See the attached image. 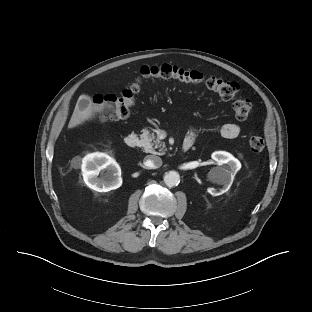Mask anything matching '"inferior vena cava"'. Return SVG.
<instances>
[{
  "label": "inferior vena cava",
  "mask_w": 312,
  "mask_h": 312,
  "mask_svg": "<svg viewBox=\"0 0 312 312\" xmlns=\"http://www.w3.org/2000/svg\"><path fill=\"white\" fill-rule=\"evenodd\" d=\"M145 160V164L150 168L157 169L162 166V159L159 156L148 155Z\"/></svg>",
  "instance_id": "1"
}]
</instances>
